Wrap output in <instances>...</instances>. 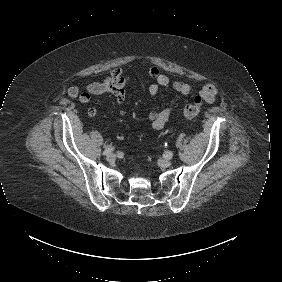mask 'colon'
I'll return each mask as SVG.
<instances>
[{"mask_svg": "<svg viewBox=\"0 0 282 282\" xmlns=\"http://www.w3.org/2000/svg\"><path fill=\"white\" fill-rule=\"evenodd\" d=\"M204 105V98L202 95H196L193 99V103H191L185 110L184 116L186 118L195 117L201 110Z\"/></svg>", "mask_w": 282, "mask_h": 282, "instance_id": "5ec220e1", "label": "colon"}]
</instances>
